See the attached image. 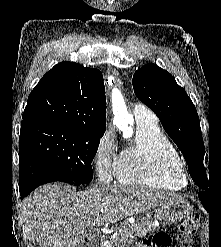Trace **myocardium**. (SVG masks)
Segmentation results:
<instances>
[{
  "mask_svg": "<svg viewBox=\"0 0 221 247\" xmlns=\"http://www.w3.org/2000/svg\"><path fill=\"white\" fill-rule=\"evenodd\" d=\"M167 173L172 177L183 180L184 182L187 179L186 172L182 166V164L170 163L167 167Z\"/></svg>",
  "mask_w": 221,
  "mask_h": 247,
  "instance_id": "obj_1",
  "label": "myocardium"
}]
</instances>
